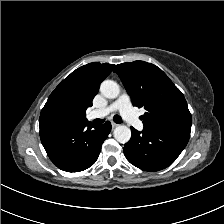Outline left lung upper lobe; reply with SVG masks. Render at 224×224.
<instances>
[{"label": "left lung upper lobe", "mask_w": 224, "mask_h": 224, "mask_svg": "<svg viewBox=\"0 0 224 224\" xmlns=\"http://www.w3.org/2000/svg\"><path fill=\"white\" fill-rule=\"evenodd\" d=\"M116 72L133 105L146 112L144 127L190 137L192 117L182 92L157 66L144 61L116 65Z\"/></svg>", "instance_id": "obj_1"}]
</instances>
